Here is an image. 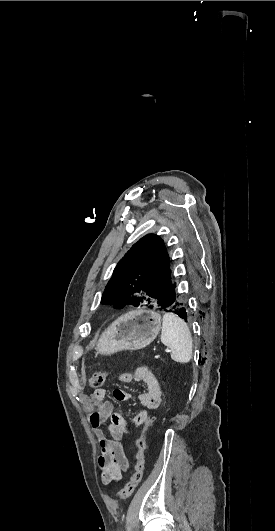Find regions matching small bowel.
Here are the masks:
<instances>
[{
    "mask_svg": "<svg viewBox=\"0 0 275 531\" xmlns=\"http://www.w3.org/2000/svg\"><path fill=\"white\" fill-rule=\"evenodd\" d=\"M118 381L123 384L140 382L146 390L138 395V401L145 408L139 411L135 417L127 422L123 416L115 411L114 404L106 400V390L96 389L89 401L92 410L88 415V421L92 431L98 440L100 455L98 465L104 483L118 482L129 468V460L122 444L119 442L123 436L141 426L143 418L151 417L147 410H157L162 403V388L158 378L146 366L138 367L134 373L122 372ZM132 398L131 393H124L121 400L128 401ZM152 421V420H151ZM109 433L110 438L106 436Z\"/></svg>",
    "mask_w": 275,
    "mask_h": 531,
    "instance_id": "obj_1",
    "label": "small bowel"
}]
</instances>
